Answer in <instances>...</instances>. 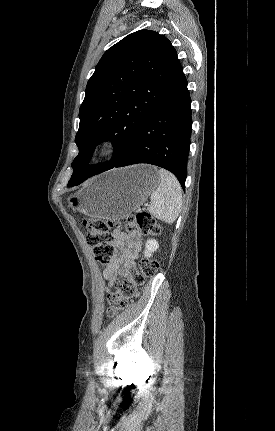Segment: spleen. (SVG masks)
Masks as SVG:
<instances>
[{"mask_svg":"<svg viewBox=\"0 0 275 431\" xmlns=\"http://www.w3.org/2000/svg\"><path fill=\"white\" fill-rule=\"evenodd\" d=\"M160 183L151 194L149 212L156 218L173 223L180 212L182 189L176 177L165 169L158 171Z\"/></svg>","mask_w":275,"mask_h":431,"instance_id":"1","label":"spleen"}]
</instances>
